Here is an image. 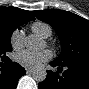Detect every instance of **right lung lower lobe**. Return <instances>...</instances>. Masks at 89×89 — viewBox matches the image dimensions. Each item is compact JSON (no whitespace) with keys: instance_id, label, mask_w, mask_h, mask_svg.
<instances>
[{"instance_id":"1","label":"right lung lower lobe","mask_w":89,"mask_h":89,"mask_svg":"<svg viewBox=\"0 0 89 89\" xmlns=\"http://www.w3.org/2000/svg\"><path fill=\"white\" fill-rule=\"evenodd\" d=\"M6 63L5 67L0 69V88L14 89L19 78L25 74V69L10 59H7Z\"/></svg>"}]
</instances>
